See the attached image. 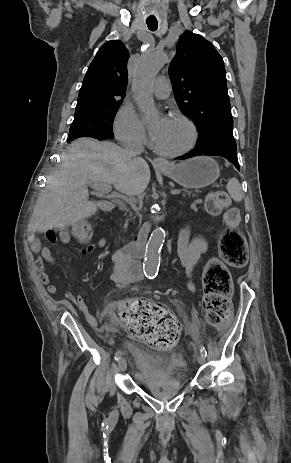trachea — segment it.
Here are the masks:
<instances>
[{
	"instance_id": "1",
	"label": "trachea",
	"mask_w": 291,
	"mask_h": 463,
	"mask_svg": "<svg viewBox=\"0 0 291 463\" xmlns=\"http://www.w3.org/2000/svg\"><path fill=\"white\" fill-rule=\"evenodd\" d=\"M147 26L148 28L151 30V31H156L157 28H158V23L157 22H150V21H147Z\"/></svg>"
}]
</instances>
